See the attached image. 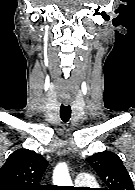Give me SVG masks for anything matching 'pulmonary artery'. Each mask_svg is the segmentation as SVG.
Segmentation results:
<instances>
[{"mask_svg": "<svg viewBox=\"0 0 135 190\" xmlns=\"http://www.w3.org/2000/svg\"><path fill=\"white\" fill-rule=\"evenodd\" d=\"M75 183L80 186L91 185L93 183V178L91 175L81 172L75 177Z\"/></svg>", "mask_w": 135, "mask_h": 190, "instance_id": "pulmonary-artery-1", "label": "pulmonary artery"}]
</instances>
